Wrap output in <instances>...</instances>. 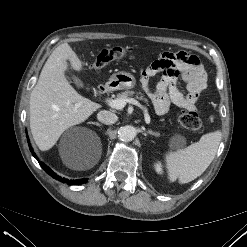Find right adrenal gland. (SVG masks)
Masks as SVG:
<instances>
[{
	"instance_id": "2a0ac1e0",
	"label": "right adrenal gland",
	"mask_w": 247,
	"mask_h": 247,
	"mask_svg": "<svg viewBox=\"0 0 247 247\" xmlns=\"http://www.w3.org/2000/svg\"><path fill=\"white\" fill-rule=\"evenodd\" d=\"M90 124H93V125H96V126H102L100 123H98V122H89Z\"/></svg>"
}]
</instances>
